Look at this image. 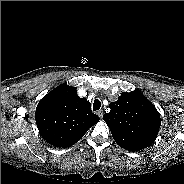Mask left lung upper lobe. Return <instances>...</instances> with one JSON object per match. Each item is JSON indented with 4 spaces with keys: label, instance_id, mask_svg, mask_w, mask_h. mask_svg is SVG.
I'll return each mask as SVG.
<instances>
[{
    "label": "left lung upper lobe",
    "instance_id": "obj_1",
    "mask_svg": "<svg viewBox=\"0 0 184 184\" xmlns=\"http://www.w3.org/2000/svg\"><path fill=\"white\" fill-rule=\"evenodd\" d=\"M103 115L116 143L128 151H140L156 139L161 118L155 106L139 91L124 92Z\"/></svg>",
    "mask_w": 184,
    "mask_h": 184
}]
</instances>
